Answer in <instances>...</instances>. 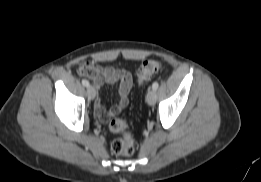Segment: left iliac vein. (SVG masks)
Wrapping results in <instances>:
<instances>
[{"mask_svg": "<svg viewBox=\"0 0 261 182\" xmlns=\"http://www.w3.org/2000/svg\"><path fill=\"white\" fill-rule=\"evenodd\" d=\"M146 101L149 105H154L156 102V92L154 91V89H151L148 91L147 95H146Z\"/></svg>", "mask_w": 261, "mask_h": 182, "instance_id": "obj_1", "label": "left iliac vein"}]
</instances>
